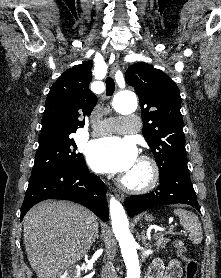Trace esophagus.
<instances>
[{"mask_svg": "<svg viewBox=\"0 0 221 278\" xmlns=\"http://www.w3.org/2000/svg\"><path fill=\"white\" fill-rule=\"evenodd\" d=\"M119 67V59H118V55L115 59V61L112 63V65L110 66V75L113 77L115 72L117 71ZM115 195L119 200H124V194L120 191H115Z\"/></svg>", "mask_w": 221, "mask_h": 278, "instance_id": "1", "label": "esophagus"}]
</instances>
